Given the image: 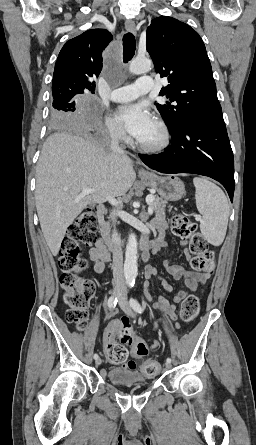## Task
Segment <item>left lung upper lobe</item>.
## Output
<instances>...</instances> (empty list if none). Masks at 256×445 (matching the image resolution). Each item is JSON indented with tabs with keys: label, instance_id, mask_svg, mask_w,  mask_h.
Instances as JSON below:
<instances>
[{
	"label": "left lung upper lobe",
	"instance_id": "5c2ea615",
	"mask_svg": "<svg viewBox=\"0 0 256 445\" xmlns=\"http://www.w3.org/2000/svg\"><path fill=\"white\" fill-rule=\"evenodd\" d=\"M146 49L156 72L170 83L160 95L173 103L156 104L170 131L189 116L223 118L205 45L192 27L168 16L155 18Z\"/></svg>",
	"mask_w": 256,
	"mask_h": 445
}]
</instances>
